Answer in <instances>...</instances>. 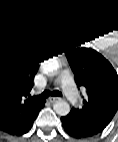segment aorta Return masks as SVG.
Instances as JSON below:
<instances>
[{
  "label": "aorta",
  "instance_id": "1",
  "mask_svg": "<svg viewBox=\"0 0 118 142\" xmlns=\"http://www.w3.org/2000/svg\"><path fill=\"white\" fill-rule=\"evenodd\" d=\"M43 72L50 77H54L58 74L59 65L55 59H48L42 63ZM54 109L57 114L65 116L70 112V105L66 101H59L54 105Z\"/></svg>",
  "mask_w": 118,
  "mask_h": 142
}]
</instances>
